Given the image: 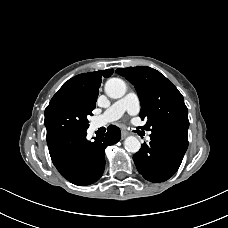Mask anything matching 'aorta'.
I'll return each instance as SVG.
<instances>
[{
  "mask_svg": "<svg viewBox=\"0 0 228 228\" xmlns=\"http://www.w3.org/2000/svg\"><path fill=\"white\" fill-rule=\"evenodd\" d=\"M105 92L110 98H121L126 93V84L120 78H111L105 84ZM124 146L128 152L137 153L140 150L141 144L138 138L129 136L125 139Z\"/></svg>",
  "mask_w": 228,
  "mask_h": 228,
  "instance_id": "1",
  "label": "aorta"
}]
</instances>
